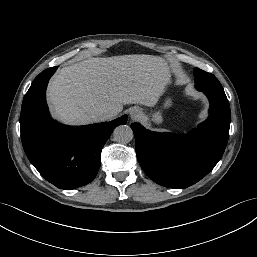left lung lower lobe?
<instances>
[{
    "label": "left lung lower lobe",
    "mask_w": 257,
    "mask_h": 257,
    "mask_svg": "<svg viewBox=\"0 0 257 257\" xmlns=\"http://www.w3.org/2000/svg\"><path fill=\"white\" fill-rule=\"evenodd\" d=\"M203 92L210 101L209 117L186 136L131 124L139 164L159 185L187 188L207 175L224 153L231 119L228 99L225 92Z\"/></svg>",
    "instance_id": "1"
}]
</instances>
